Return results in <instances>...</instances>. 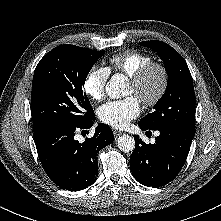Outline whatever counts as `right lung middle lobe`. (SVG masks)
Masks as SVG:
<instances>
[{
    "instance_id": "1",
    "label": "right lung middle lobe",
    "mask_w": 221,
    "mask_h": 221,
    "mask_svg": "<svg viewBox=\"0 0 221 221\" xmlns=\"http://www.w3.org/2000/svg\"><path fill=\"white\" fill-rule=\"evenodd\" d=\"M103 54L104 51L64 44L40 60L31 94L34 133L58 124H79L94 115L83 86Z\"/></svg>"
}]
</instances>
